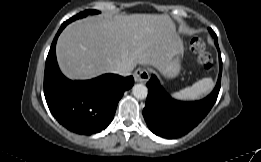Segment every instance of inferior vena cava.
I'll return each instance as SVG.
<instances>
[{
    "label": "inferior vena cava",
    "mask_w": 261,
    "mask_h": 162,
    "mask_svg": "<svg viewBox=\"0 0 261 162\" xmlns=\"http://www.w3.org/2000/svg\"><path fill=\"white\" fill-rule=\"evenodd\" d=\"M135 68V65H117L112 68L111 72L119 74L121 76H129Z\"/></svg>",
    "instance_id": "inferior-vena-cava-1"
}]
</instances>
